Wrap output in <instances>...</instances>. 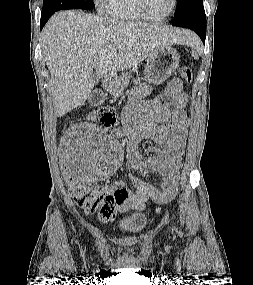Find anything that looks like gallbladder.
Returning a JSON list of instances; mask_svg holds the SVG:
<instances>
[{"label":"gallbladder","mask_w":253,"mask_h":285,"mask_svg":"<svg viewBox=\"0 0 253 285\" xmlns=\"http://www.w3.org/2000/svg\"><path fill=\"white\" fill-rule=\"evenodd\" d=\"M92 77H93V79H94L95 81L98 79V74H97V71H96V70H94V71L92 72Z\"/></svg>","instance_id":"1"}]
</instances>
